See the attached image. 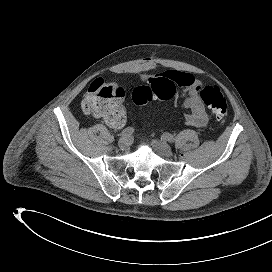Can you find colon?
<instances>
[{
    "label": "colon",
    "instance_id": "5ec220e1",
    "mask_svg": "<svg viewBox=\"0 0 272 272\" xmlns=\"http://www.w3.org/2000/svg\"><path fill=\"white\" fill-rule=\"evenodd\" d=\"M177 86L170 79L159 77L150 80L148 85L140 86L133 92L136 104H146L154 99L167 100L176 93ZM123 89L114 83H106L95 79L89 86L83 101L82 110L89 115L104 119L113 118L119 111V101L123 97ZM203 103L210 109L215 118L223 123L227 117V100L216 86L203 84L199 88Z\"/></svg>",
    "mask_w": 272,
    "mask_h": 272
}]
</instances>
